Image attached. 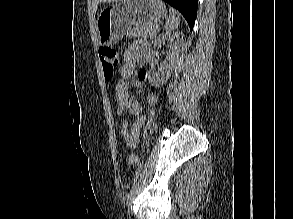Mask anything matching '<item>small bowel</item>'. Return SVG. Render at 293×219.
<instances>
[{"label": "small bowel", "instance_id": "1", "mask_svg": "<svg viewBox=\"0 0 293 219\" xmlns=\"http://www.w3.org/2000/svg\"><path fill=\"white\" fill-rule=\"evenodd\" d=\"M147 50L148 43L145 41H137L128 47L124 53L123 62L119 70L121 79L118 81L115 89L118 114L121 116L129 114L135 117L131 125H129L128 121L125 119L120 131L127 147L130 149H135L137 147L141 130L146 122V117L142 114L141 105L131 97L127 80L133 74L136 64ZM147 78L148 73L141 70L135 85L138 87L143 86ZM147 100L148 104L152 106L156 101V96L154 94H149Z\"/></svg>", "mask_w": 293, "mask_h": 219}]
</instances>
